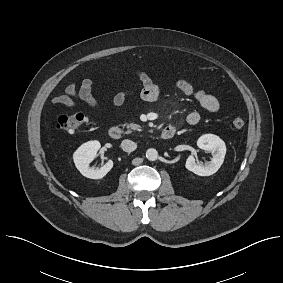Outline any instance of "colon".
I'll return each instance as SVG.
<instances>
[{
    "label": "colon",
    "instance_id": "obj_1",
    "mask_svg": "<svg viewBox=\"0 0 283 283\" xmlns=\"http://www.w3.org/2000/svg\"><path fill=\"white\" fill-rule=\"evenodd\" d=\"M86 121L87 117L82 112L66 114L58 118L55 128L59 131L72 134L80 129ZM232 124L234 128L241 129L245 122L242 118H235Z\"/></svg>",
    "mask_w": 283,
    "mask_h": 283
}]
</instances>
